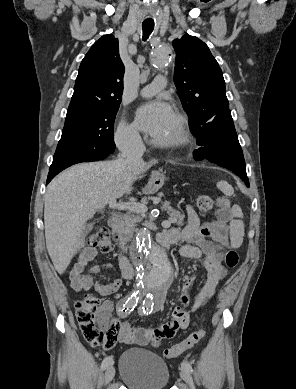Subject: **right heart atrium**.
<instances>
[{"mask_svg":"<svg viewBox=\"0 0 296 389\" xmlns=\"http://www.w3.org/2000/svg\"><path fill=\"white\" fill-rule=\"evenodd\" d=\"M117 145L128 150L136 147L140 142V136L133 124L121 121L115 135Z\"/></svg>","mask_w":296,"mask_h":389,"instance_id":"d8ad5b80","label":"right heart atrium"}]
</instances>
